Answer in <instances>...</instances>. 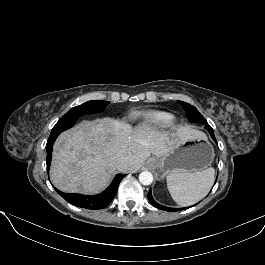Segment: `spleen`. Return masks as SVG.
Masks as SVG:
<instances>
[{"label": "spleen", "instance_id": "obj_1", "mask_svg": "<svg viewBox=\"0 0 265 265\" xmlns=\"http://www.w3.org/2000/svg\"><path fill=\"white\" fill-rule=\"evenodd\" d=\"M215 170L210 167L194 173L167 175V187L173 200L181 206H190L204 198L214 182Z\"/></svg>", "mask_w": 265, "mask_h": 265}]
</instances>
